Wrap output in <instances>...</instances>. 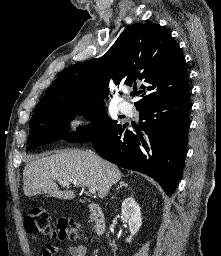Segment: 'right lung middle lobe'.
Segmentation results:
<instances>
[{
  "mask_svg": "<svg viewBox=\"0 0 221 256\" xmlns=\"http://www.w3.org/2000/svg\"><path fill=\"white\" fill-rule=\"evenodd\" d=\"M75 114H84L85 118L93 122L79 129L77 133L64 135L71 142H89L117 123L107 116L104 103L78 102L68 104L64 100H57L34 112L30 121L28 148L59 139L63 133L69 130L67 120H72Z\"/></svg>",
  "mask_w": 221,
  "mask_h": 256,
  "instance_id": "right-lung-middle-lobe-1",
  "label": "right lung middle lobe"
}]
</instances>
